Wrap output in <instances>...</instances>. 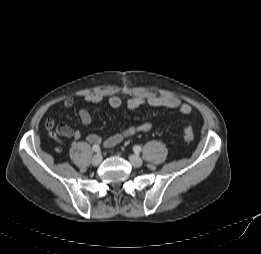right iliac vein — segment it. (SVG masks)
Masks as SVG:
<instances>
[{"mask_svg": "<svg viewBox=\"0 0 261 254\" xmlns=\"http://www.w3.org/2000/svg\"><path fill=\"white\" fill-rule=\"evenodd\" d=\"M101 161H102L101 154H96L91 159V163H92L93 166H98L101 163Z\"/></svg>", "mask_w": 261, "mask_h": 254, "instance_id": "right-iliac-vein-1", "label": "right iliac vein"}]
</instances>
